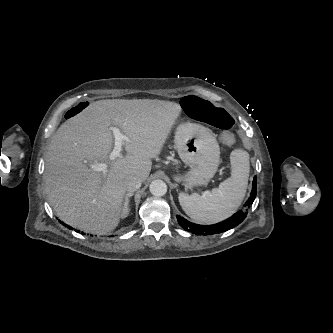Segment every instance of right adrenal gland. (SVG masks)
I'll use <instances>...</instances> for the list:
<instances>
[{"label": "right adrenal gland", "instance_id": "1", "mask_svg": "<svg viewBox=\"0 0 333 333\" xmlns=\"http://www.w3.org/2000/svg\"><path fill=\"white\" fill-rule=\"evenodd\" d=\"M133 196V193H127L124 198L123 208H122V216L126 217L129 213V198Z\"/></svg>", "mask_w": 333, "mask_h": 333}]
</instances>
